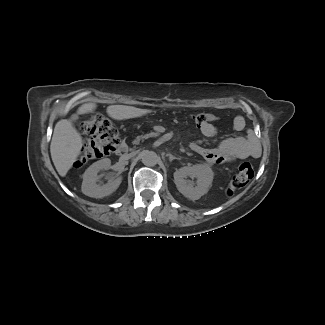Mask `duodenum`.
I'll list each match as a JSON object with an SVG mask.
<instances>
[{"instance_id":"410a0bca","label":"duodenum","mask_w":325,"mask_h":325,"mask_svg":"<svg viewBox=\"0 0 325 325\" xmlns=\"http://www.w3.org/2000/svg\"><path fill=\"white\" fill-rule=\"evenodd\" d=\"M128 146L125 143H121L117 149L119 156H125L127 154Z\"/></svg>"}]
</instances>
